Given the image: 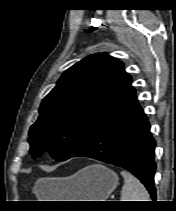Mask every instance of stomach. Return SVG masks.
<instances>
[{
  "instance_id": "obj_1",
  "label": "stomach",
  "mask_w": 176,
  "mask_h": 211,
  "mask_svg": "<svg viewBox=\"0 0 176 211\" xmlns=\"http://www.w3.org/2000/svg\"><path fill=\"white\" fill-rule=\"evenodd\" d=\"M117 185L115 172L95 164L67 178L41 179L37 192L42 198L51 199L47 201H106Z\"/></svg>"
}]
</instances>
